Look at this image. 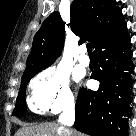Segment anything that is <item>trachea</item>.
I'll return each instance as SVG.
<instances>
[{"label":"trachea","instance_id":"1","mask_svg":"<svg viewBox=\"0 0 136 136\" xmlns=\"http://www.w3.org/2000/svg\"><path fill=\"white\" fill-rule=\"evenodd\" d=\"M87 50H88L89 55H93V53H92V46H91L90 43L87 44Z\"/></svg>","mask_w":136,"mask_h":136}]
</instances>
